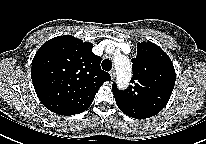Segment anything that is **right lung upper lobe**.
Wrapping results in <instances>:
<instances>
[{
  "mask_svg": "<svg viewBox=\"0 0 206 144\" xmlns=\"http://www.w3.org/2000/svg\"><path fill=\"white\" fill-rule=\"evenodd\" d=\"M93 45L69 35L44 43L32 61L31 78L42 104L54 113L74 115L85 111L109 73Z\"/></svg>",
  "mask_w": 206,
  "mask_h": 144,
  "instance_id": "obj_1",
  "label": "right lung upper lobe"
}]
</instances>
